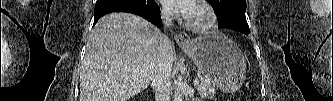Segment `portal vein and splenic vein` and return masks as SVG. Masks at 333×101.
<instances>
[{
	"mask_svg": "<svg viewBox=\"0 0 333 101\" xmlns=\"http://www.w3.org/2000/svg\"><path fill=\"white\" fill-rule=\"evenodd\" d=\"M198 86H199V80L196 79V80L194 81V87H198Z\"/></svg>",
	"mask_w": 333,
	"mask_h": 101,
	"instance_id": "obj_1",
	"label": "portal vein and splenic vein"
}]
</instances>
